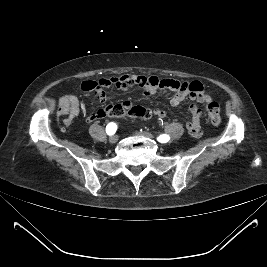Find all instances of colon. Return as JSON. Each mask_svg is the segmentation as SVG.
<instances>
[{
	"mask_svg": "<svg viewBox=\"0 0 267 267\" xmlns=\"http://www.w3.org/2000/svg\"><path fill=\"white\" fill-rule=\"evenodd\" d=\"M206 113L208 120L214 124L218 125L221 122L220 106L215 101H210L206 105ZM127 115L133 118H149L151 116V111L142 106H131L127 109L121 107H115L111 112L110 116H124Z\"/></svg>",
	"mask_w": 267,
	"mask_h": 267,
	"instance_id": "colon-1",
	"label": "colon"
}]
</instances>
